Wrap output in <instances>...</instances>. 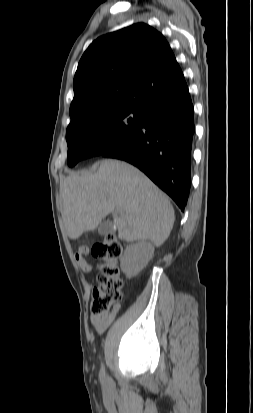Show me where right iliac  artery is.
Returning a JSON list of instances; mask_svg holds the SVG:
<instances>
[{"label":"right iliac artery","mask_w":253,"mask_h":413,"mask_svg":"<svg viewBox=\"0 0 253 413\" xmlns=\"http://www.w3.org/2000/svg\"><path fill=\"white\" fill-rule=\"evenodd\" d=\"M100 379L103 381L105 379V368L102 366L100 370Z\"/></svg>","instance_id":"1"}]
</instances>
